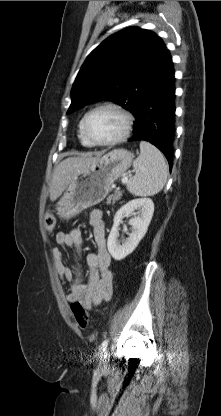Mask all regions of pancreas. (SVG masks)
I'll return each mask as SVG.
<instances>
[{"label":"pancreas","mask_w":221,"mask_h":416,"mask_svg":"<svg viewBox=\"0 0 221 416\" xmlns=\"http://www.w3.org/2000/svg\"><path fill=\"white\" fill-rule=\"evenodd\" d=\"M121 196H122L121 192L115 191L114 194L108 196L106 204L107 205H110V204L114 205L116 201L121 199Z\"/></svg>","instance_id":"cf45deb5"}]
</instances>
